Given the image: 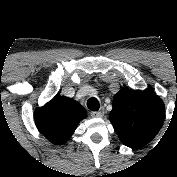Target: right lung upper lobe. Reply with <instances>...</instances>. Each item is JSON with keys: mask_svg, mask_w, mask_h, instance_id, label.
Wrapping results in <instances>:
<instances>
[{"mask_svg": "<svg viewBox=\"0 0 177 177\" xmlns=\"http://www.w3.org/2000/svg\"><path fill=\"white\" fill-rule=\"evenodd\" d=\"M86 117L85 109L72 99L54 98L44 114L36 116L39 130L53 143L66 142L78 123Z\"/></svg>", "mask_w": 177, "mask_h": 177, "instance_id": "right-lung-upper-lobe-1", "label": "right lung upper lobe"}]
</instances>
